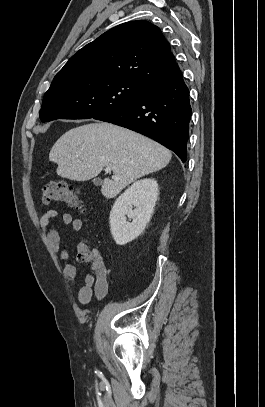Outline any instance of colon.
Wrapping results in <instances>:
<instances>
[{
  "instance_id": "obj_1",
  "label": "colon",
  "mask_w": 265,
  "mask_h": 407,
  "mask_svg": "<svg viewBox=\"0 0 265 407\" xmlns=\"http://www.w3.org/2000/svg\"><path fill=\"white\" fill-rule=\"evenodd\" d=\"M42 200L44 204L53 202H65L76 208H83V200L80 191L63 182H49L42 188ZM79 258L91 261L95 267L104 266L100 256L91 251L86 245L79 246Z\"/></svg>"
}]
</instances>
